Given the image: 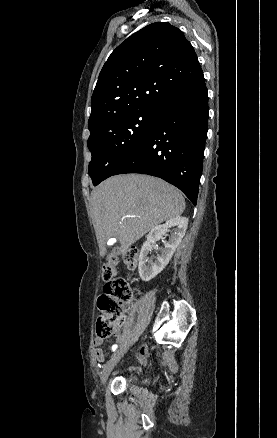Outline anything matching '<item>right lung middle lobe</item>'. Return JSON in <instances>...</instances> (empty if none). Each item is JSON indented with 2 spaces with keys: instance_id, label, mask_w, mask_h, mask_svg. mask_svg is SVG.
Returning <instances> with one entry per match:
<instances>
[{
  "instance_id": "1",
  "label": "right lung middle lobe",
  "mask_w": 277,
  "mask_h": 438,
  "mask_svg": "<svg viewBox=\"0 0 277 438\" xmlns=\"http://www.w3.org/2000/svg\"><path fill=\"white\" fill-rule=\"evenodd\" d=\"M157 108L114 116L89 127L92 154L89 175L94 185L112 176L146 137Z\"/></svg>"
}]
</instances>
